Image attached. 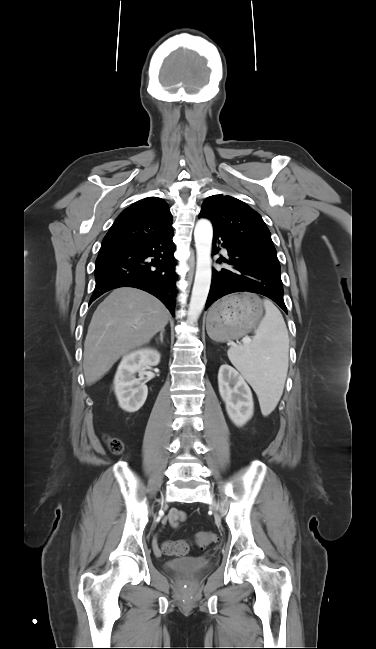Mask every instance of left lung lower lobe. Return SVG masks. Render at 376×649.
Returning <instances> with one entry per match:
<instances>
[{"mask_svg": "<svg viewBox=\"0 0 376 649\" xmlns=\"http://www.w3.org/2000/svg\"><path fill=\"white\" fill-rule=\"evenodd\" d=\"M216 243H221V246L227 249L229 256L228 259L219 258L217 262H225L230 268L219 270L213 268L212 283L205 310L225 295L247 291L270 298L287 314L283 300L279 261L223 232L214 230V254L217 253Z\"/></svg>", "mask_w": 376, "mask_h": 649, "instance_id": "1", "label": "left lung lower lobe"}]
</instances>
